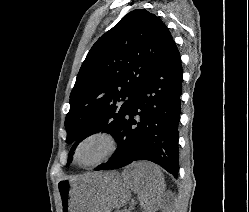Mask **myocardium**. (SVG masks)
Instances as JSON below:
<instances>
[{
    "label": "myocardium",
    "mask_w": 249,
    "mask_h": 212,
    "mask_svg": "<svg viewBox=\"0 0 249 212\" xmlns=\"http://www.w3.org/2000/svg\"><path fill=\"white\" fill-rule=\"evenodd\" d=\"M96 137H102L108 140L110 144V148L108 152L105 154L104 157H102L100 160L90 163V164H81L78 161V153L82 145ZM121 145V141L119 137L114 133L113 131L106 129V128H101V129H96L88 132L87 134L83 135L75 144L74 149H73V161L76 165H78L81 168L85 169H90V168H96L101 166L102 164L106 163L109 161L111 158H113L119 151Z\"/></svg>",
    "instance_id": "1"
}]
</instances>
